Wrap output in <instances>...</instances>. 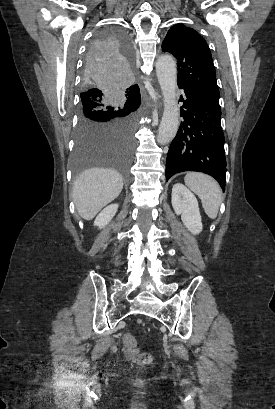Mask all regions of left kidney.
I'll return each mask as SVG.
<instances>
[{"instance_id":"5707ae66","label":"left kidney","mask_w":275,"mask_h":409,"mask_svg":"<svg viewBox=\"0 0 275 409\" xmlns=\"http://www.w3.org/2000/svg\"><path fill=\"white\" fill-rule=\"evenodd\" d=\"M172 207L181 215L182 223L193 235L202 231L201 215L196 196L184 184L176 182L172 188Z\"/></svg>"}]
</instances>
